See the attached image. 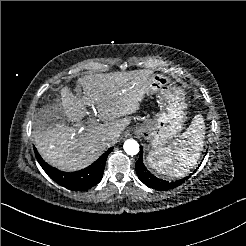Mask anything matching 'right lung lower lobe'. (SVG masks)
Returning a JSON list of instances; mask_svg holds the SVG:
<instances>
[{
    "label": "right lung lower lobe",
    "mask_w": 246,
    "mask_h": 246,
    "mask_svg": "<svg viewBox=\"0 0 246 246\" xmlns=\"http://www.w3.org/2000/svg\"><path fill=\"white\" fill-rule=\"evenodd\" d=\"M111 151L112 148H110L108 152L104 153L89 167L73 173L62 172L51 167L40 157L36 150L35 155L41 167L55 182L71 190L82 191L88 190L100 182L103 176L108 153Z\"/></svg>",
    "instance_id": "right-lung-lower-lobe-1"
}]
</instances>
